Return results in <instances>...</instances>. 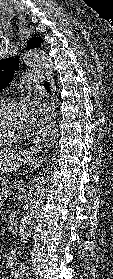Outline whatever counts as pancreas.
Here are the masks:
<instances>
[{
	"instance_id": "obj_1",
	"label": "pancreas",
	"mask_w": 113,
	"mask_h": 279,
	"mask_svg": "<svg viewBox=\"0 0 113 279\" xmlns=\"http://www.w3.org/2000/svg\"><path fill=\"white\" fill-rule=\"evenodd\" d=\"M8 183V180L4 181L2 186H1V194L3 196H6L10 192V187H8L6 184Z\"/></svg>"
}]
</instances>
